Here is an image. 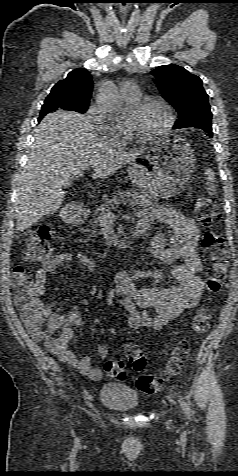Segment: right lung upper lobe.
I'll return each mask as SVG.
<instances>
[{"instance_id":"1","label":"right lung upper lobe","mask_w":238,"mask_h":476,"mask_svg":"<svg viewBox=\"0 0 238 476\" xmlns=\"http://www.w3.org/2000/svg\"><path fill=\"white\" fill-rule=\"evenodd\" d=\"M92 89V77L88 70L77 68L66 79L59 81L47 97L59 94L68 101L67 104L89 106Z\"/></svg>"}]
</instances>
